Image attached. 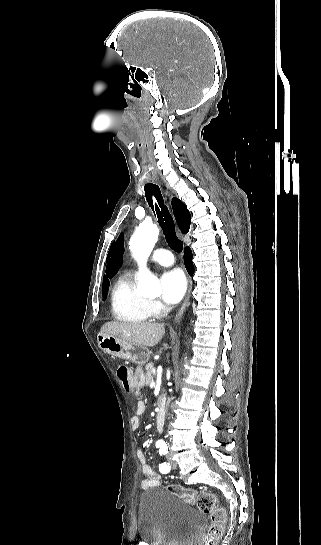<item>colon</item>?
<instances>
[{
    "label": "colon",
    "instance_id": "1",
    "mask_svg": "<svg viewBox=\"0 0 321 545\" xmlns=\"http://www.w3.org/2000/svg\"><path fill=\"white\" fill-rule=\"evenodd\" d=\"M117 375L127 391L134 388V383L128 367L119 366L117 369ZM167 489L172 494L186 502H195L199 510L209 516L210 525L205 536L200 541V545H217L218 541L223 535L227 521L226 510L220 505L217 496L210 492L196 494L191 489L180 485H170Z\"/></svg>",
    "mask_w": 321,
    "mask_h": 545
}]
</instances>
